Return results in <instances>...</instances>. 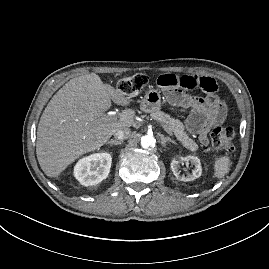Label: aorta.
I'll return each mask as SVG.
<instances>
[{
  "mask_svg": "<svg viewBox=\"0 0 269 269\" xmlns=\"http://www.w3.org/2000/svg\"><path fill=\"white\" fill-rule=\"evenodd\" d=\"M156 139L153 135H144L141 137V146L145 149L153 148L155 146Z\"/></svg>",
  "mask_w": 269,
  "mask_h": 269,
  "instance_id": "762f6f07",
  "label": "aorta"
}]
</instances>
